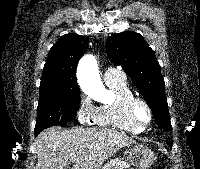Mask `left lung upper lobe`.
Segmentation results:
<instances>
[{"label": "left lung upper lobe", "mask_w": 200, "mask_h": 169, "mask_svg": "<svg viewBox=\"0 0 200 169\" xmlns=\"http://www.w3.org/2000/svg\"><path fill=\"white\" fill-rule=\"evenodd\" d=\"M106 49L109 59L122 66L141 92L156 124L172 130L160 65L144 38L136 32L113 34L107 39Z\"/></svg>", "instance_id": "5c2ea615"}]
</instances>
